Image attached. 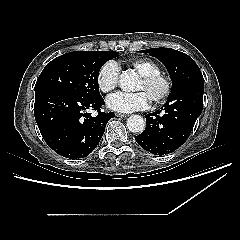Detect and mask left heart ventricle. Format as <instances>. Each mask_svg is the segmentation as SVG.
Listing matches in <instances>:
<instances>
[{"label": "left heart ventricle", "mask_w": 240, "mask_h": 240, "mask_svg": "<svg viewBox=\"0 0 240 240\" xmlns=\"http://www.w3.org/2000/svg\"><path fill=\"white\" fill-rule=\"evenodd\" d=\"M136 89L144 91L148 98L151 100L160 91L161 86L160 84L148 86L141 79H139Z\"/></svg>", "instance_id": "left-heart-ventricle-1"}]
</instances>
